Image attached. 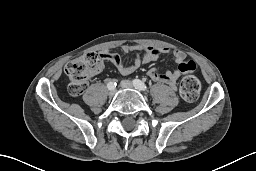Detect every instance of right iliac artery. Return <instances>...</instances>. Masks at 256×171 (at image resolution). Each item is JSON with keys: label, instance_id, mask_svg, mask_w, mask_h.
<instances>
[{"label": "right iliac artery", "instance_id": "obj_1", "mask_svg": "<svg viewBox=\"0 0 256 171\" xmlns=\"http://www.w3.org/2000/svg\"><path fill=\"white\" fill-rule=\"evenodd\" d=\"M107 87H108V89L115 88V87H116V82L110 81V82L107 84Z\"/></svg>", "mask_w": 256, "mask_h": 171}]
</instances>
